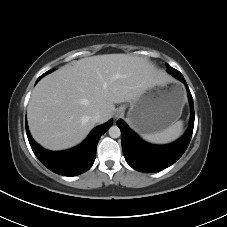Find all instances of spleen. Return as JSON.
I'll return each instance as SVG.
<instances>
[{
	"label": "spleen",
	"mask_w": 227,
	"mask_h": 227,
	"mask_svg": "<svg viewBox=\"0 0 227 227\" xmlns=\"http://www.w3.org/2000/svg\"><path fill=\"white\" fill-rule=\"evenodd\" d=\"M182 129L183 122L177 121L160 132L142 134L141 137L151 143L166 144L178 139L182 134Z\"/></svg>",
	"instance_id": "1"
}]
</instances>
